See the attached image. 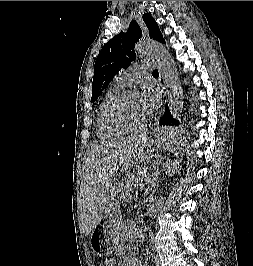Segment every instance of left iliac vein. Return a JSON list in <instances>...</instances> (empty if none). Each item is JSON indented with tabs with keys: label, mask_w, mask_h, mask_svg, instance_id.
Masks as SVG:
<instances>
[{
	"label": "left iliac vein",
	"mask_w": 253,
	"mask_h": 266,
	"mask_svg": "<svg viewBox=\"0 0 253 266\" xmlns=\"http://www.w3.org/2000/svg\"><path fill=\"white\" fill-rule=\"evenodd\" d=\"M156 266H161L159 259H157Z\"/></svg>",
	"instance_id": "left-iliac-vein-1"
}]
</instances>
